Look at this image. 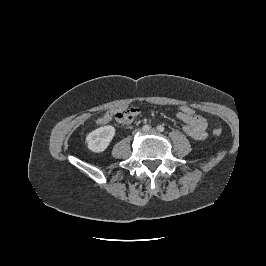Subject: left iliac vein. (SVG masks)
I'll use <instances>...</instances> for the list:
<instances>
[{
	"label": "left iliac vein",
	"instance_id": "1",
	"mask_svg": "<svg viewBox=\"0 0 266 266\" xmlns=\"http://www.w3.org/2000/svg\"><path fill=\"white\" fill-rule=\"evenodd\" d=\"M157 131L155 129H151L150 131H148V133H156Z\"/></svg>",
	"mask_w": 266,
	"mask_h": 266
}]
</instances>
